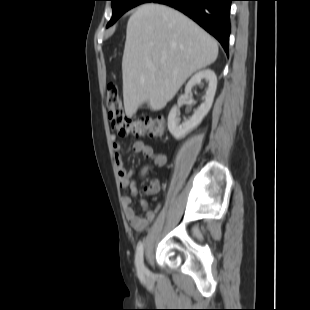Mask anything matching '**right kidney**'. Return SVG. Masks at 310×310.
Segmentation results:
<instances>
[{
	"instance_id": "obj_1",
	"label": "right kidney",
	"mask_w": 310,
	"mask_h": 310,
	"mask_svg": "<svg viewBox=\"0 0 310 310\" xmlns=\"http://www.w3.org/2000/svg\"><path fill=\"white\" fill-rule=\"evenodd\" d=\"M203 79H206L208 81V87L206 89L205 96L203 97L204 101L203 103H201L199 108L194 111L192 117L180 124L177 106L172 107L168 115L169 132L177 140L181 139L188 132L195 129L202 122L203 118L208 114L209 110L211 109L217 88V77L213 70L203 69L195 73L188 81L185 87V93L190 94L193 86L199 84Z\"/></svg>"
}]
</instances>
